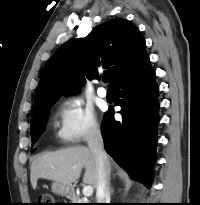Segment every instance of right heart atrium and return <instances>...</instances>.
Returning <instances> with one entry per match:
<instances>
[{
  "label": "right heart atrium",
  "instance_id": "d8ad5b80",
  "mask_svg": "<svg viewBox=\"0 0 200 205\" xmlns=\"http://www.w3.org/2000/svg\"><path fill=\"white\" fill-rule=\"evenodd\" d=\"M99 132L93 110L79 98L64 100L58 109L57 138L63 144H77Z\"/></svg>",
  "mask_w": 200,
  "mask_h": 205
}]
</instances>
